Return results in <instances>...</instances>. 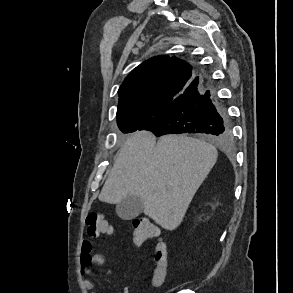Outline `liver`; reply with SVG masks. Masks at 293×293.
I'll return each instance as SVG.
<instances>
[{
	"label": "liver",
	"instance_id": "obj_1",
	"mask_svg": "<svg viewBox=\"0 0 293 293\" xmlns=\"http://www.w3.org/2000/svg\"><path fill=\"white\" fill-rule=\"evenodd\" d=\"M217 156L213 145L192 137L170 134L156 142L153 133L137 131L119 150L99 200L118 204L139 196L145 215L174 230Z\"/></svg>",
	"mask_w": 293,
	"mask_h": 293
}]
</instances>
